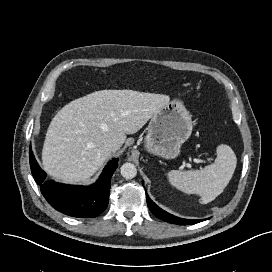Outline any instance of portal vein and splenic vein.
Returning a JSON list of instances; mask_svg holds the SVG:
<instances>
[{"instance_id":"1","label":"portal vein and splenic vein","mask_w":272,"mask_h":272,"mask_svg":"<svg viewBox=\"0 0 272 272\" xmlns=\"http://www.w3.org/2000/svg\"><path fill=\"white\" fill-rule=\"evenodd\" d=\"M193 161L196 162V163H201L202 162V160H200V159H193Z\"/></svg>"}]
</instances>
